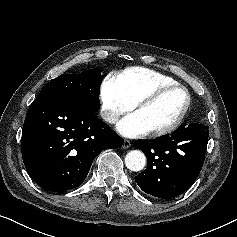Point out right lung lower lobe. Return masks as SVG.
<instances>
[{
	"label": "right lung lower lobe",
	"mask_w": 237,
	"mask_h": 237,
	"mask_svg": "<svg viewBox=\"0 0 237 237\" xmlns=\"http://www.w3.org/2000/svg\"><path fill=\"white\" fill-rule=\"evenodd\" d=\"M123 139L92 112L57 96L38 95L22 129V158L42 188L61 192L87 177L95 157L120 148Z\"/></svg>",
	"instance_id": "right-lung-lower-lobe-1"
}]
</instances>
